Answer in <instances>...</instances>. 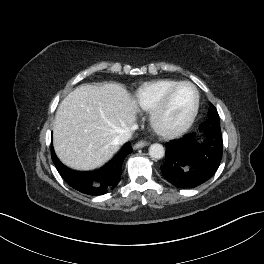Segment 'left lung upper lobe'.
<instances>
[{
  "instance_id": "5c2ea615",
  "label": "left lung upper lobe",
  "mask_w": 264,
  "mask_h": 264,
  "mask_svg": "<svg viewBox=\"0 0 264 264\" xmlns=\"http://www.w3.org/2000/svg\"><path fill=\"white\" fill-rule=\"evenodd\" d=\"M208 115H209V119L204 122V126H206L207 128L211 127V128H218L220 129V120H219V115L218 112L216 110V108L214 107L213 104H210L209 110H208Z\"/></svg>"
}]
</instances>
